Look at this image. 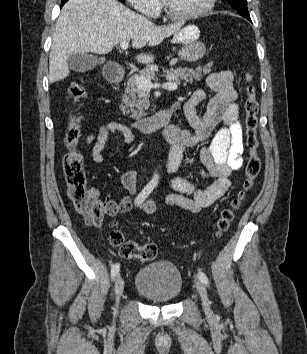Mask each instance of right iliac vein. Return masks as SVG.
Masks as SVG:
<instances>
[{"label": "right iliac vein", "instance_id": "63e3f726", "mask_svg": "<svg viewBox=\"0 0 307 354\" xmlns=\"http://www.w3.org/2000/svg\"><path fill=\"white\" fill-rule=\"evenodd\" d=\"M124 290V280L122 277L118 276L115 282V295H116V309L115 314L117 313V307L120 300V297Z\"/></svg>", "mask_w": 307, "mask_h": 354}]
</instances>
